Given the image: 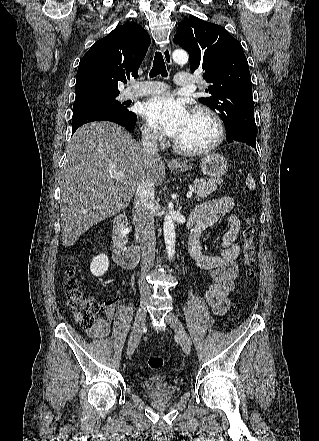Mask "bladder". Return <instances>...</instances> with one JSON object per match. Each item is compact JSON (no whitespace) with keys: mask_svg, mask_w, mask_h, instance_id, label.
Masks as SVG:
<instances>
[{"mask_svg":"<svg viewBox=\"0 0 319 441\" xmlns=\"http://www.w3.org/2000/svg\"><path fill=\"white\" fill-rule=\"evenodd\" d=\"M142 389L150 395L174 394L176 386L168 383L165 378L147 377L141 381Z\"/></svg>","mask_w":319,"mask_h":441,"instance_id":"bladder-1","label":"bladder"}]
</instances>
